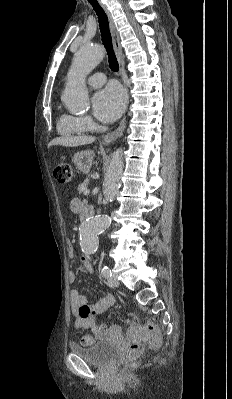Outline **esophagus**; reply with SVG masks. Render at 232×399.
I'll use <instances>...</instances> for the list:
<instances>
[{
    "instance_id": "esophagus-1",
    "label": "esophagus",
    "mask_w": 232,
    "mask_h": 399,
    "mask_svg": "<svg viewBox=\"0 0 232 399\" xmlns=\"http://www.w3.org/2000/svg\"><path fill=\"white\" fill-rule=\"evenodd\" d=\"M98 2H99V4L101 5V7L103 8L104 12L106 13V15L108 17L109 26H110V32H111V38H112V43H113V48H114L115 55L117 57V61H118L119 68H120V72L122 74V72L124 70V55H123V52H122V46H121L119 34L117 32L116 25H115V22L113 20L112 14L108 10L107 6L104 3H102V0H98ZM122 80L124 82V85H126V82L124 81L123 77H122ZM125 126H126V116L123 117V119L119 123L118 127L115 130H113V132L107 133L104 136V139H103L104 143L105 144H111L112 142L117 140L120 137V135L123 133V131L125 129Z\"/></svg>"
}]
</instances>
